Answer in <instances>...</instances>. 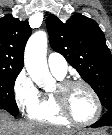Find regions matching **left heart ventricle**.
<instances>
[{
    "label": "left heart ventricle",
    "mask_w": 112,
    "mask_h": 135,
    "mask_svg": "<svg viewBox=\"0 0 112 135\" xmlns=\"http://www.w3.org/2000/svg\"><path fill=\"white\" fill-rule=\"evenodd\" d=\"M67 104L72 115L80 121L91 119L96 111L92 95L83 86H74L68 90Z\"/></svg>",
    "instance_id": "1"
}]
</instances>
